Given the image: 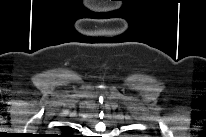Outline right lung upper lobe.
Returning <instances> with one entry per match:
<instances>
[{
    "mask_svg": "<svg viewBox=\"0 0 206 137\" xmlns=\"http://www.w3.org/2000/svg\"><path fill=\"white\" fill-rule=\"evenodd\" d=\"M61 131L63 133H71L72 132V128L71 127H68V126H62L61 127Z\"/></svg>",
    "mask_w": 206,
    "mask_h": 137,
    "instance_id": "cb5924a9",
    "label": "right lung upper lobe"
}]
</instances>
